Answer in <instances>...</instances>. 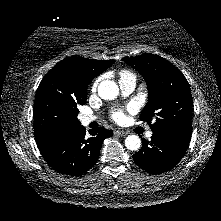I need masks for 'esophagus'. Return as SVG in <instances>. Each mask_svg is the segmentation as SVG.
<instances>
[{"label": "esophagus", "mask_w": 221, "mask_h": 221, "mask_svg": "<svg viewBox=\"0 0 221 221\" xmlns=\"http://www.w3.org/2000/svg\"><path fill=\"white\" fill-rule=\"evenodd\" d=\"M114 135L123 137V136H126L127 133L123 130H116V131H114Z\"/></svg>", "instance_id": "1"}]
</instances>
